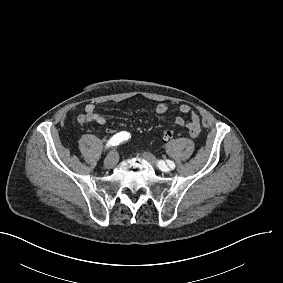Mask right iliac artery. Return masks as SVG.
Here are the masks:
<instances>
[{"label":"right iliac artery","mask_w":283,"mask_h":283,"mask_svg":"<svg viewBox=\"0 0 283 283\" xmlns=\"http://www.w3.org/2000/svg\"><path fill=\"white\" fill-rule=\"evenodd\" d=\"M130 133L126 132V131H122L119 132L117 134H115L107 143V147L109 146H117L120 143L128 140L130 138Z\"/></svg>","instance_id":"right-iliac-artery-1"}]
</instances>
